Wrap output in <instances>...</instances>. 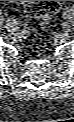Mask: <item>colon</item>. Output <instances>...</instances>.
<instances>
[{
	"instance_id": "obj_1",
	"label": "colon",
	"mask_w": 74,
	"mask_h": 122,
	"mask_svg": "<svg viewBox=\"0 0 74 122\" xmlns=\"http://www.w3.org/2000/svg\"><path fill=\"white\" fill-rule=\"evenodd\" d=\"M48 4L49 5H47V6H41L40 10H38V11L34 10L33 8H28L27 12L30 15H40V16H43V15H46V14H49V13H52L53 11H55L56 3L49 2Z\"/></svg>"
}]
</instances>
